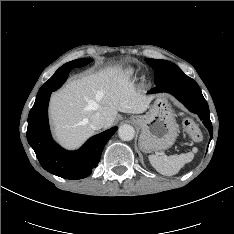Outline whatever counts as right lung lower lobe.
Returning a JSON list of instances; mask_svg holds the SVG:
<instances>
[{
    "label": "right lung lower lobe",
    "mask_w": 234,
    "mask_h": 234,
    "mask_svg": "<svg viewBox=\"0 0 234 234\" xmlns=\"http://www.w3.org/2000/svg\"><path fill=\"white\" fill-rule=\"evenodd\" d=\"M70 71L59 68L39 89L28 116L27 140L46 171L65 179H82L98 165L103 148L117 127L91 137L73 152L64 150L53 141L48 124L49 98L66 81Z\"/></svg>",
    "instance_id": "right-lung-lower-lobe-1"
}]
</instances>
